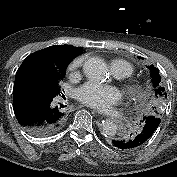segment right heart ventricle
Returning a JSON list of instances; mask_svg holds the SVG:
<instances>
[{"label":"right heart ventricle","instance_id":"obj_1","mask_svg":"<svg viewBox=\"0 0 177 177\" xmlns=\"http://www.w3.org/2000/svg\"><path fill=\"white\" fill-rule=\"evenodd\" d=\"M115 65H118L120 67V69L124 73L125 77H130L131 75H133V73L135 71L134 66L125 60H116V61L112 62V66H111L112 70Z\"/></svg>","mask_w":177,"mask_h":177}]
</instances>
